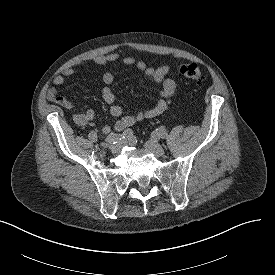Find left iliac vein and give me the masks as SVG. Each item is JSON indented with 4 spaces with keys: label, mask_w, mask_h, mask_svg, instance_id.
Here are the masks:
<instances>
[{
    "label": "left iliac vein",
    "mask_w": 275,
    "mask_h": 275,
    "mask_svg": "<svg viewBox=\"0 0 275 275\" xmlns=\"http://www.w3.org/2000/svg\"><path fill=\"white\" fill-rule=\"evenodd\" d=\"M144 148L148 152H150L158 157L164 156V154H165L164 148L155 140L146 141L144 144Z\"/></svg>",
    "instance_id": "4c4485c4"
}]
</instances>
